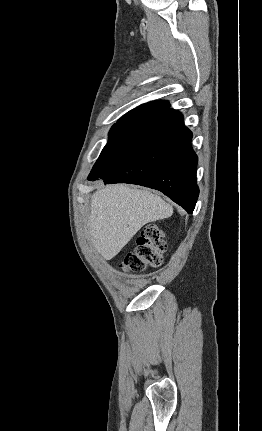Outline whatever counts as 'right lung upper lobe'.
<instances>
[{"label":"right lung upper lobe","instance_id":"right-lung-upper-lobe-1","mask_svg":"<svg viewBox=\"0 0 262 431\" xmlns=\"http://www.w3.org/2000/svg\"><path fill=\"white\" fill-rule=\"evenodd\" d=\"M167 109H169L168 101H152L129 111L114 125L131 127L132 125Z\"/></svg>","mask_w":262,"mask_h":431}]
</instances>
